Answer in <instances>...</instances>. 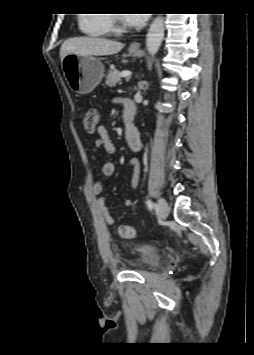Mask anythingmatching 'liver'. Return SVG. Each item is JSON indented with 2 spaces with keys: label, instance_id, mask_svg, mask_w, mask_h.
Here are the masks:
<instances>
[{
  "label": "liver",
  "instance_id": "6515ba94",
  "mask_svg": "<svg viewBox=\"0 0 254 355\" xmlns=\"http://www.w3.org/2000/svg\"><path fill=\"white\" fill-rule=\"evenodd\" d=\"M124 45L117 41H111L98 37H74L64 41L60 48V58L68 54L77 55H113L121 51Z\"/></svg>",
  "mask_w": 254,
  "mask_h": 355
}]
</instances>
